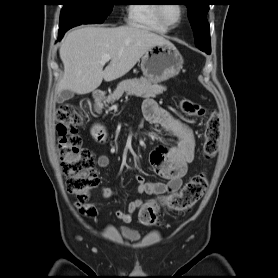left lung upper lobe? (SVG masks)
<instances>
[{
    "label": "left lung upper lobe",
    "mask_w": 278,
    "mask_h": 278,
    "mask_svg": "<svg viewBox=\"0 0 278 278\" xmlns=\"http://www.w3.org/2000/svg\"><path fill=\"white\" fill-rule=\"evenodd\" d=\"M188 18L194 32L195 45L202 51H211L210 31L206 15L209 10V0H185Z\"/></svg>",
    "instance_id": "1"
}]
</instances>
